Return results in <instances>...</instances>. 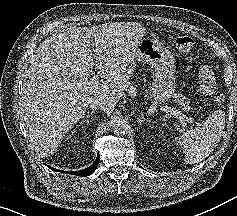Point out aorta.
Instances as JSON below:
<instances>
[{
    "instance_id": "obj_1",
    "label": "aorta",
    "mask_w": 237,
    "mask_h": 216,
    "mask_svg": "<svg viewBox=\"0 0 237 216\" xmlns=\"http://www.w3.org/2000/svg\"><path fill=\"white\" fill-rule=\"evenodd\" d=\"M128 129L127 122L122 117L114 118L112 122V131L116 135H125Z\"/></svg>"
}]
</instances>
